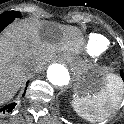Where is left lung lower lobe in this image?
Returning a JSON list of instances; mask_svg holds the SVG:
<instances>
[{
  "instance_id": "1",
  "label": "left lung lower lobe",
  "mask_w": 124,
  "mask_h": 124,
  "mask_svg": "<svg viewBox=\"0 0 124 124\" xmlns=\"http://www.w3.org/2000/svg\"><path fill=\"white\" fill-rule=\"evenodd\" d=\"M121 77H122V79L124 81V75H123V72L122 71H121Z\"/></svg>"
}]
</instances>
